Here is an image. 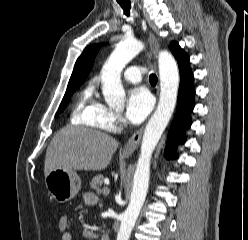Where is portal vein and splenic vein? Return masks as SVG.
Returning a JSON list of instances; mask_svg holds the SVG:
<instances>
[{"label": "portal vein and splenic vein", "instance_id": "portal-vein-and-splenic-vein-1", "mask_svg": "<svg viewBox=\"0 0 248 240\" xmlns=\"http://www.w3.org/2000/svg\"><path fill=\"white\" fill-rule=\"evenodd\" d=\"M109 192H110V189L108 187H104L102 190L103 195H106V196L109 194Z\"/></svg>", "mask_w": 248, "mask_h": 240}]
</instances>
